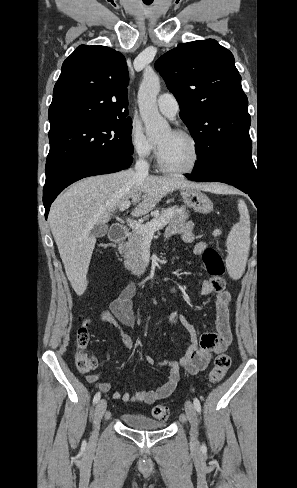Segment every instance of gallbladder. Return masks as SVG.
Masks as SVG:
<instances>
[{"label": "gallbladder", "mask_w": 297, "mask_h": 488, "mask_svg": "<svg viewBox=\"0 0 297 488\" xmlns=\"http://www.w3.org/2000/svg\"><path fill=\"white\" fill-rule=\"evenodd\" d=\"M108 231V226L105 224H95L94 227L91 229V235L97 237V238H102L107 234Z\"/></svg>", "instance_id": "gallbladder-1"}]
</instances>
